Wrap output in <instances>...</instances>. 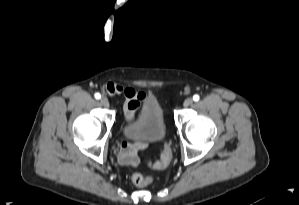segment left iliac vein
Instances as JSON below:
<instances>
[{
  "instance_id": "1",
  "label": "left iliac vein",
  "mask_w": 299,
  "mask_h": 205,
  "mask_svg": "<svg viewBox=\"0 0 299 205\" xmlns=\"http://www.w3.org/2000/svg\"><path fill=\"white\" fill-rule=\"evenodd\" d=\"M192 103H193V99L191 97H189V98L185 99L183 105H184V107H188V106L192 105Z\"/></svg>"
}]
</instances>
